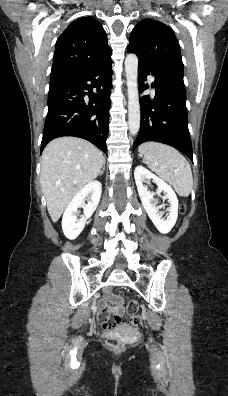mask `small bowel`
I'll list each match as a JSON object with an SVG mask.
<instances>
[{
    "instance_id": "obj_1",
    "label": "small bowel",
    "mask_w": 228,
    "mask_h": 396,
    "mask_svg": "<svg viewBox=\"0 0 228 396\" xmlns=\"http://www.w3.org/2000/svg\"><path fill=\"white\" fill-rule=\"evenodd\" d=\"M112 302V303H110ZM99 306L102 314H113V315H121L124 312L123 305L118 302L111 295H108L106 299H103L99 302Z\"/></svg>"
}]
</instances>
